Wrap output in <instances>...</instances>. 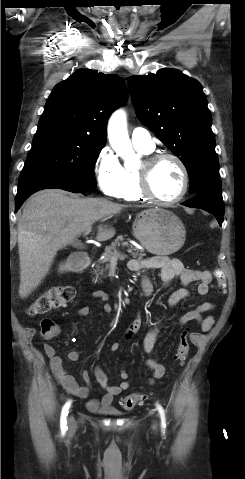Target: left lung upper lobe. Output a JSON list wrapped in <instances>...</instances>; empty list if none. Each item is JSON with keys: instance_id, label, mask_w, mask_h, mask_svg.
I'll use <instances>...</instances> for the list:
<instances>
[{"instance_id": "1", "label": "left lung upper lobe", "mask_w": 245, "mask_h": 479, "mask_svg": "<svg viewBox=\"0 0 245 479\" xmlns=\"http://www.w3.org/2000/svg\"><path fill=\"white\" fill-rule=\"evenodd\" d=\"M128 85L139 119L185 165L189 192L219 182L212 116L201 84L176 69L131 76Z\"/></svg>"}]
</instances>
